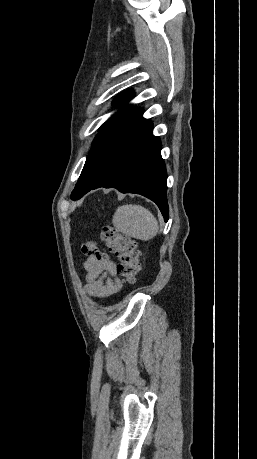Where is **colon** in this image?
<instances>
[{"label":"colon","instance_id":"obj_1","mask_svg":"<svg viewBox=\"0 0 257 459\" xmlns=\"http://www.w3.org/2000/svg\"><path fill=\"white\" fill-rule=\"evenodd\" d=\"M101 238L106 242L109 250L119 258L117 273L121 282L135 283L141 270L138 243L130 237L119 233L111 225L103 226Z\"/></svg>","mask_w":257,"mask_h":459}]
</instances>
